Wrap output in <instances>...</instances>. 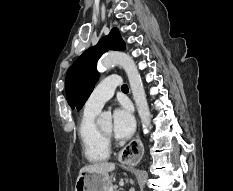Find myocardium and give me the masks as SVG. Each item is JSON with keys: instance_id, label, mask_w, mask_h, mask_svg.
<instances>
[{"instance_id": "myocardium-1", "label": "myocardium", "mask_w": 233, "mask_h": 191, "mask_svg": "<svg viewBox=\"0 0 233 191\" xmlns=\"http://www.w3.org/2000/svg\"><path fill=\"white\" fill-rule=\"evenodd\" d=\"M98 131H99V133L101 134V136H102L103 138H105L106 140L109 139L110 133H106V132L102 131V130L100 129V127H98Z\"/></svg>"}]
</instances>
